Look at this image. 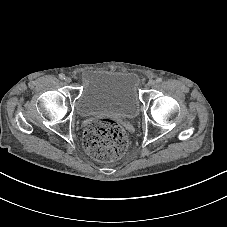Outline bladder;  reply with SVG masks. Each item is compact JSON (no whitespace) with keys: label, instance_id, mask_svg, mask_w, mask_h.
<instances>
[{"label":"bladder","instance_id":"bladder-1","mask_svg":"<svg viewBox=\"0 0 227 227\" xmlns=\"http://www.w3.org/2000/svg\"><path fill=\"white\" fill-rule=\"evenodd\" d=\"M141 107L138 80L132 72L95 71L87 76L75 99V112L81 119L108 116L135 120Z\"/></svg>","mask_w":227,"mask_h":227}]
</instances>
